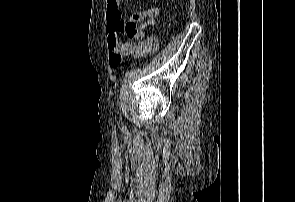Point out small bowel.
Returning <instances> with one entry per match:
<instances>
[{
	"label": "small bowel",
	"instance_id": "1",
	"mask_svg": "<svg viewBox=\"0 0 295 202\" xmlns=\"http://www.w3.org/2000/svg\"><path fill=\"white\" fill-rule=\"evenodd\" d=\"M160 13V7L155 6L149 9L142 10L134 14V18L139 20L143 17H149L148 25L154 24V18ZM122 18L120 10V0H107V20L109 23H117ZM158 48V39L154 35H150L145 39L142 46L127 43L116 49L111 47L109 55V63L111 67H118L121 63V59L124 55L130 53H137L142 56L150 55L156 52ZM135 49H139L135 51Z\"/></svg>",
	"mask_w": 295,
	"mask_h": 202
}]
</instances>
